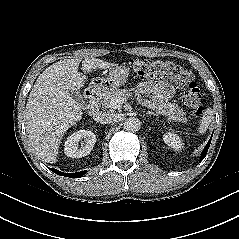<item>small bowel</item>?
I'll return each mask as SVG.
<instances>
[{
    "instance_id": "1",
    "label": "small bowel",
    "mask_w": 239,
    "mask_h": 239,
    "mask_svg": "<svg viewBox=\"0 0 239 239\" xmlns=\"http://www.w3.org/2000/svg\"><path fill=\"white\" fill-rule=\"evenodd\" d=\"M139 93L152 94L157 102L165 101L173 96V87L166 81H145L138 86Z\"/></svg>"
}]
</instances>
